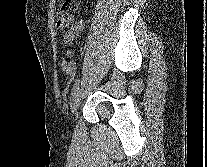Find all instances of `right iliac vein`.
Returning a JSON list of instances; mask_svg holds the SVG:
<instances>
[{
    "instance_id": "right-iliac-vein-1",
    "label": "right iliac vein",
    "mask_w": 207,
    "mask_h": 167,
    "mask_svg": "<svg viewBox=\"0 0 207 167\" xmlns=\"http://www.w3.org/2000/svg\"><path fill=\"white\" fill-rule=\"evenodd\" d=\"M80 102H81V91L78 89L70 103V109L72 113L76 112L77 108L80 105Z\"/></svg>"
}]
</instances>
